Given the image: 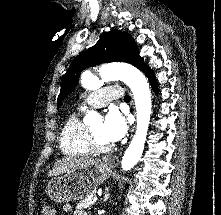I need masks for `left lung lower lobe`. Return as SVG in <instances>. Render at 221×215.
Returning <instances> with one entry per match:
<instances>
[{"instance_id":"0a47b994","label":"left lung lower lobe","mask_w":221,"mask_h":215,"mask_svg":"<svg viewBox=\"0 0 221 215\" xmlns=\"http://www.w3.org/2000/svg\"><path fill=\"white\" fill-rule=\"evenodd\" d=\"M143 72L149 78L150 84L152 85L153 90L157 92V83H156V79H155L153 71L149 67H147Z\"/></svg>"}]
</instances>
